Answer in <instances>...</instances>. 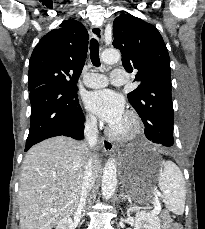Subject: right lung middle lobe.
Masks as SVG:
<instances>
[{
    "mask_svg": "<svg viewBox=\"0 0 205 229\" xmlns=\"http://www.w3.org/2000/svg\"><path fill=\"white\" fill-rule=\"evenodd\" d=\"M58 81H59L60 85H63L65 87H69V88L77 90V86H76L75 82L69 81L65 78H61Z\"/></svg>",
    "mask_w": 205,
    "mask_h": 229,
    "instance_id": "obj_1",
    "label": "right lung middle lobe"
}]
</instances>
